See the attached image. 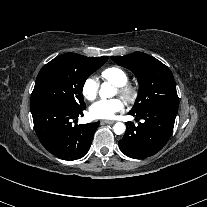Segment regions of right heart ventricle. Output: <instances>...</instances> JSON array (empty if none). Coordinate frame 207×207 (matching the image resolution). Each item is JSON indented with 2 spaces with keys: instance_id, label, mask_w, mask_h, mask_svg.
I'll use <instances>...</instances> for the list:
<instances>
[{
  "instance_id": "1",
  "label": "right heart ventricle",
  "mask_w": 207,
  "mask_h": 207,
  "mask_svg": "<svg viewBox=\"0 0 207 207\" xmlns=\"http://www.w3.org/2000/svg\"><path fill=\"white\" fill-rule=\"evenodd\" d=\"M100 76L102 79L118 87L126 85L129 80L127 73L122 68L117 66L105 68L101 71Z\"/></svg>"
}]
</instances>
